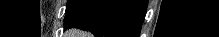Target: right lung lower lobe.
<instances>
[{"mask_svg":"<svg viewBox=\"0 0 219 37\" xmlns=\"http://www.w3.org/2000/svg\"><path fill=\"white\" fill-rule=\"evenodd\" d=\"M147 0H76L66 9V28L90 31L95 37H138Z\"/></svg>","mask_w":219,"mask_h":37,"instance_id":"1","label":"right lung lower lobe"}]
</instances>
